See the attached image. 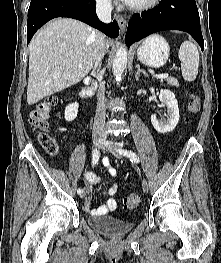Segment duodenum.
<instances>
[{"mask_svg": "<svg viewBox=\"0 0 221 263\" xmlns=\"http://www.w3.org/2000/svg\"><path fill=\"white\" fill-rule=\"evenodd\" d=\"M91 95H92V90L88 85H85L80 91V97L84 100L90 98Z\"/></svg>", "mask_w": 221, "mask_h": 263, "instance_id": "1", "label": "duodenum"}]
</instances>
